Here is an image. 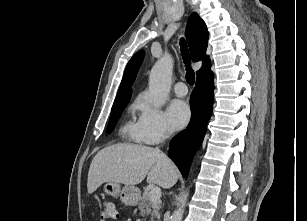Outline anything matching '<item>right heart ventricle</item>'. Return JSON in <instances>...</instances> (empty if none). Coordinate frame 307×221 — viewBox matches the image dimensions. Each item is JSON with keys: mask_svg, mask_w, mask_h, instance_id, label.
I'll return each mask as SVG.
<instances>
[{"mask_svg": "<svg viewBox=\"0 0 307 221\" xmlns=\"http://www.w3.org/2000/svg\"><path fill=\"white\" fill-rule=\"evenodd\" d=\"M138 109V103H134L131 105V111L134 112ZM122 134L129 137L130 139L136 142H143L140 136V130L138 122H135L133 119H129L124 126L122 127ZM144 143V142H143Z\"/></svg>", "mask_w": 307, "mask_h": 221, "instance_id": "1", "label": "right heart ventricle"}]
</instances>
